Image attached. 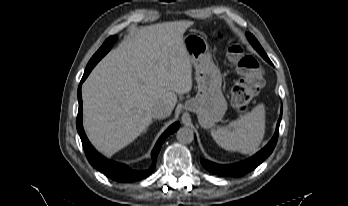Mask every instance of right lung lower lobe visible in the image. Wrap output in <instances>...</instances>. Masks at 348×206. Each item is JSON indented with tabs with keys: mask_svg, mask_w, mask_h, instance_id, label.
Instances as JSON below:
<instances>
[{
	"mask_svg": "<svg viewBox=\"0 0 348 206\" xmlns=\"http://www.w3.org/2000/svg\"><path fill=\"white\" fill-rule=\"evenodd\" d=\"M106 51H97L94 56L89 61L84 75L82 77L80 86L78 88V101H79V110H78V116H77V130L80 135L83 148L85 151V154L87 156L88 161L90 164L99 170L100 172L104 173L107 177L119 181V182H131L140 180L143 178L148 177L154 170L155 164H156V158L158 156V153L161 149V145L164 142V140L169 136L171 133H174L179 128V123L176 122L172 124L159 138L157 141L153 151H152V166L146 170V171H135L130 169L125 164L116 163L110 160H107L103 156H101L89 143L84 130L82 126V97H81V84L86 79V77L89 75L93 67L98 63V61L106 54Z\"/></svg>",
	"mask_w": 348,
	"mask_h": 206,
	"instance_id": "1",
	"label": "right lung lower lobe"
}]
</instances>
